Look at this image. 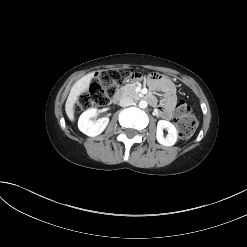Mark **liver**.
<instances>
[{
    "instance_id": "obj_1",
    "label": "liver",
    "mask_w": 247,
    "mask_h": 247,
    "mask_svg": "<svg viewBox=\"0 0 247 247\" xmlns=\"http://www.w3.org/2000/svg\"><path fill=\"white\" fill-rule=\"evenodd\" d=\"M93 77L94 73H89L79 79L71 88L65 104V111L70 121H74V105L78 97L89 88Z\"/></svg>"
}]
</instances>
